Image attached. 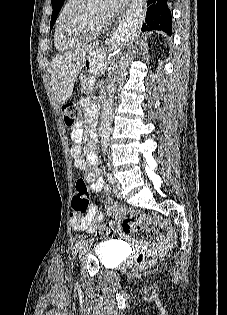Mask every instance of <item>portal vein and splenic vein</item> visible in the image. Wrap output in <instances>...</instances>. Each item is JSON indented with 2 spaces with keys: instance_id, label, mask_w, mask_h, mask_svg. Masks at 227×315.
Here are the masks:
<instances>
[{
  "instance_id": "portal-vein-and-splenic-vein-1",
  "label": "portal vein and splenic vein",
  "mask_w": 227,
  "mask_h": 315,
  "mask_svg": "<svg viewBox=\"0 0 227 315\" xmlns=\"http://www.w3.org/2000/svg\"><path fill=\"white\" fill-rule=\"evenodd\" d=\"M89 84H90L91 86H93V85L95 84V78H92V79L89 81Z\"/></svg>"
}]
</instances>
